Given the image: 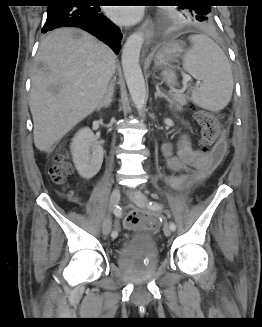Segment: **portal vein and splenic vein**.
Segmentation results:
<instances>
[{
    "instance_id": "obj_1",
    "label": "portal vein and splenic vein",
    "mask_w": 262,
    "mask_h": 327,
    "mask_svg": "<svg viewBox=\"0 0 262 327\" xmlns=\"http://www.w3.org/2000/svg\"><path fill=\"white\" fill-rule=\"evenodd\" d=\"M190 80H191V77L190 76L184 75V77H183V84H186ZM199 85H201V83L200 82H197L196 83V86H199Z\"/></svg>"
}]
</instances>
